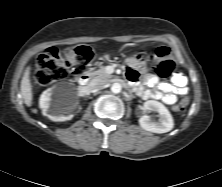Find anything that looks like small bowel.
I'll use <instances>...</instances> for the list:
<instances>
[{"label": "small bowel", "mask_w": 222, "mask_h": 187, "mask_svg": "<svg viewBox=\"0 0 222 187\" xmlns=\"http://www.w3.org/2000/svg\"><path fill=\"white\" fill-rule=\"evenodd\" d=\"M126 77L130 82L137 81L138 73L133 67V62H129L126 66ZM143 82L149 87H156V90H141L140 96L142 98L160 100L167 105L175 104L178 96L185 95L188 91L187 79L181 73L174 74L171 83L160 82L157 77L151 74H146Z\"/></svg>", "instance_id": "small-bowel-1"}]
</instances>
